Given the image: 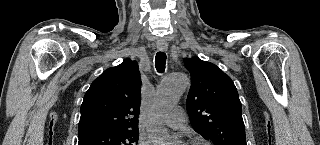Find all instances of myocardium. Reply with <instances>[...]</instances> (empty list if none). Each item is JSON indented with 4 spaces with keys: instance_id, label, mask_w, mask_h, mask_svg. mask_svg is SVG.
I'll list each match as a JSON object with an SVG mask.
<instances>
[{
    "instance_id": "1",
    "label": "myocardium",
    "mask_w": 320,
    "mask_h": 145,
    "mask_svg": "<svg viewBox=\"0 0 320 145\" xmlns=\"http://www.w3.org/2000/svg\"><path fill=\"white\" fill-rule=\"evenodd\" d=\"M185 145H209V144L201 140H191L186 142Z\"/></svg>"
}]
</instances>
